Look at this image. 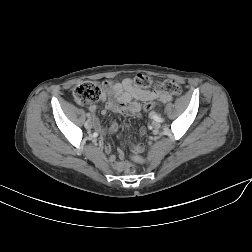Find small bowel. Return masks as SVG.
<instances>
[{
	"mask_svg": "<svg viewBox=\"0 0 252 252\" xmlns=\"http://www.w3.org/2000/svg\"><path fill=\"white\" fill-rule=\"evenodd\" d=\"M104 94L102 101L105 103L102 109V114H106L109 111L120 112L124 115H137L142 110L141 102L146 105L149 103L155 104V101H160L167 103L172 101L173 97L171 95L156 92L151 90H142L136 87L130 78H125L120 82H113L112 80H105L103 82ZM79 102V101H78ZM81 103V102H79ZM145 105V106H146ZM96 106L90 105L89 111L92 116V121L94 128L104 133L105 131L101 128L100 119L96 116ZM119 129L117 122H112L110 126L111 132H116ZM146 134V129H140V135L144 136ZM111 145L105 146V152L107 154L111 153ZM136 152H142L143 146L137 145L135 147ZM123 152L120 151L118 158L110 156V161L113 164L114 169L117 172H121L125 167V161L123 160ZM137 160L141 161L140 158Z\"/></svg>",
	"mask_w": 252,
	"mask_h": 252,
	"instance_id": "1",
	"label": "small bowel"
}]
</instances>
